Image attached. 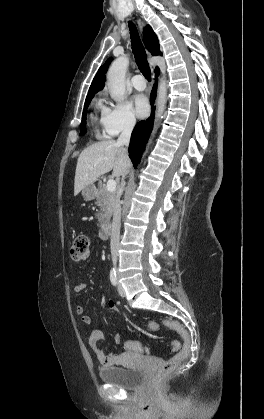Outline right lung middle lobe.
<instances>
[{
    "label": "right lung middle lobe",
    "instance_id": "right-lung-middle-lobe-1",
    "mask_svg": "<svg viewBox=\"0 0 264 419\" xmlns=\"http://www.w3.org/2000/svg\"><path fill=\"white\" fill-rule=\"evenodd\" d=\"M91 99H87L85 101V109L83 111V116H82V122L80 124V135H83L86 132V115H87V107L89 105V103L91 102Z\"/></svg>",
    "mask_w": 264,
    "mask_h": 419
}]
</instances>
